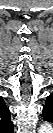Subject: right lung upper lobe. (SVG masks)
<instances>
[{"instance_id": "right-lung-upper-lobe-1", "label": "right lung upper lobe", "mask_w": 53, "mask_h": 133, "mask_svg": "<svg viewBox=\"0 0 53 133\" xmlns=\"http://www.w3.org/2000/svg\"><path fill=\"white\" fill-rule=\"evenodd\" d=\"M0 130L13 133V124L10 119V111L6 108L4 101L0 97Z\"/></svg>"}]
</instances>
